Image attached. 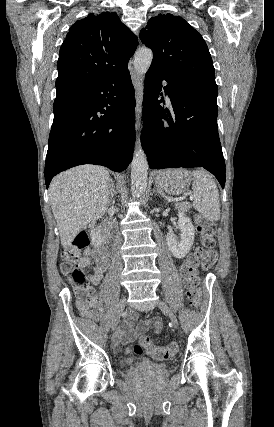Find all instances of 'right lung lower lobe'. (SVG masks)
Masks as SVG:
<instances>
[{
  "mask_svg": "<svg viewBox=\"0 0 274 427\" xmlns=\"http://www.w3.org/2000/svg\"><path fill=\"white\" fill-rule=\"evenodd\" d=\"M134 107L129 71L86 93L54 102L45 164L46 187L56 174L77 165L125 170L133 156Z\"/></svg>",
  "mask_w": 274,
  "mask_h": 427,
  "instance_id": "obj_1",
  "label": "right lung lower lobe"
}]
</instances>
